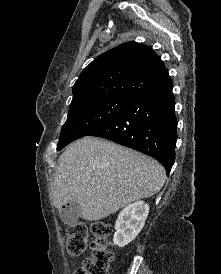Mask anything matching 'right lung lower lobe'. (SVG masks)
Listing matches in <instances>:
<instances>
[{
  "mask_svg": "<svg viewBox=\"0 0 221 274\" xmlns=\"http://www.w3.org/2000/svg\"><path fill=\"white\" fill-rule=\"evenodd\" d=\"M173 83L168 75L133 98L119 113L88 136L111 140L159 161L167 175L175 161L177 119Z\"/></svg>",
  "mask_w": 221,
  "mask_h": 274,
  "instance_id": "1",
  "label": "right lung lower lobe"
}]
</instances>
